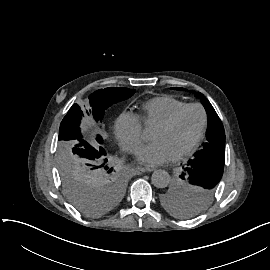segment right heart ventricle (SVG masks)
Returning <instances> with one entry per match:
<instances>
[{"mask_svg":"<svg viewBox=\"0 0 270 270\" xmlns=\"http://www.w3.org/2000/svg\"><path fill=\"white\" fill-rule=\"evenodd\" d=\"M184 106H186L185 101L162 95L144 103L141 107L142 112L134 116L140 121L142 126L146 127L150 123L159 124Z\"/></svg>","mask_w":270,"mask_h":270,"instance_id":"right-heart-ventricle-1","label":"right heart ventricle"}]
</instances>
